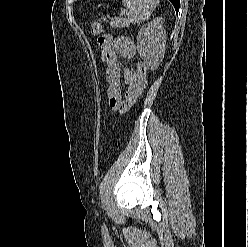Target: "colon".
<instances>
[{
  "mask_svg": "<svg viewBox=\"0 0 248 247\" xmlns=\"http://www.w3.org/2000/svg\"><path fill=\"white\" fill-rule=\"evenodd\" d=\"M91 31L94 35H100L104 33L105 29L100 22H93L91 24ZM136 70H137V74L140 78L141 83L143 84V86H145V83H146L145 79H146V73H147V67L145 63L142 61H139L136 65Z\"/></svg>",
  "mask_w": 248,
  "mask_h": 247,
  "instance_id": "5ec220e1",
  "label": "colon"
}]
</instances>
